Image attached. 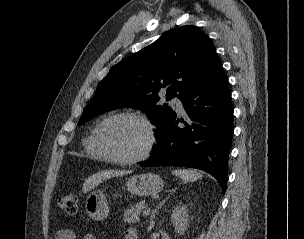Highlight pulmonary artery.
Segmentation results:
<instances>
[{"mask_svg":"<svg viewBox=\"0 0 304 239\" xmlns=\"http://www.w3.org/2000/svg\"><path fill=\"white\" fill-rule=\"evenodd\" d=\"M171 102L176 107L178 112H180V113L184 112L183 103H182V100L180 97H178V96L174 97Z\"/></svg>","mask_w":304,"mask_h":239,"instance_id":"e3ab8cb5","label":"pulmonary artery"}]
</instances>
